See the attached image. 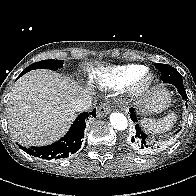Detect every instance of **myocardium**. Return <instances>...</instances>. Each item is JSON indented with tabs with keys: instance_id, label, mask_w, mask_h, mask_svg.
Returning a JSON list of instances; mask_svg holds the SVG:
<instances>
[{
	"instance_id": "myocardium-1",
	"label": "myocardium",
	"mask_w": 196,
	"mask_h": 196,
	"mask_svg": "<svg viewBox=\"0 0 196 196\" xmlns=\"http://www.w3.org/2000/svg\"><path fill=\"white\" fill-rule=\"evenodd\" d=\"M155 81V75L148 69H145L128 86V94L132 98H140L145 95Z\"/></svg>"
}]
</instances>
